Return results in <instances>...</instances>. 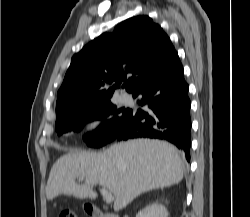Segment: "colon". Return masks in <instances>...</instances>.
Masks as SVG:
<instances>
[{
    "mask_svg": "<svg viewBox=\"0 0 250 217\" xmlns=\"http://www.w3.org/2000/svg\"><path fill=\"white\" fill-rule=\"evenodd\" d=\"M58 217H77V215L73 211L63 210Z\"/></svg>",
    "mask_w": 250,
    "mask_h": 217,
    "instance_id": "obj_1",
    "label": "colon"
}]
</instances>
